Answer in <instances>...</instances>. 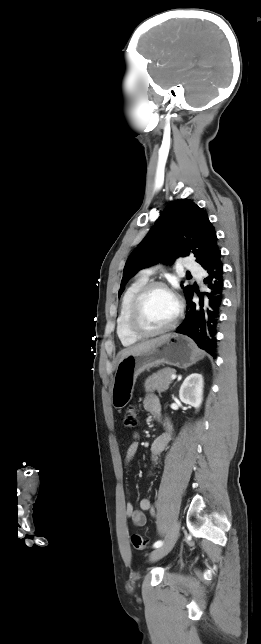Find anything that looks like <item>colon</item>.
<instances>
[{
	"mask_svg": "<svg viewBox=\"0 0 261 644\" xmlns=\"http://www.w3.org/2000/svg\"><path fill=\"white\" fill-rule=\"evenodd\" d=\"M137 422H138V413L136 408L133 406L128 407L124 414V419H123L124 426L128 429H131L137 425ZM131 542L133 547L137 550H144L148 544L147 540L139 534L132 535Z\"/></svg>",
	"mask_w": 261,
	"mask_h": 644,
	"instance_id": "colon-1",
	"label": "colon"
}]
</instances>
